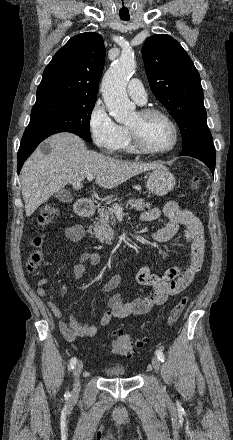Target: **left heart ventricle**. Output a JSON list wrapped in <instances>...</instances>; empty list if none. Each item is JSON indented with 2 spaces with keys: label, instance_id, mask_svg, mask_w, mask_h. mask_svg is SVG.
<instances>
[{
  "label": "left heart ventricle",
  "instance_id": "b2bd125f",
  "mask_svg": "<svg viewBox=\"0 0 233 440\" xmlns=\"http://www.w3.org/2000/svg\"><path fill=\"white\" fill-rule=\"evenodd\" d=\"M127 126L139 132L144 144L152 150L165 149L173 141L172 128L160 116L143 118L136 113Z\"/></svg>",
  "mask_w": 233,
  "mask_h": 440
}]
</instances>
